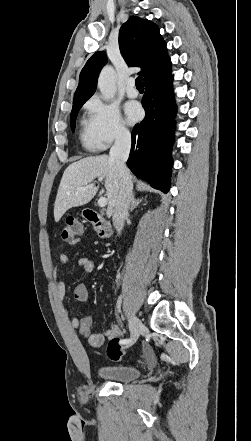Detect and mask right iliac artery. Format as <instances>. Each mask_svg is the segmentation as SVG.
Returning <instances> with one entry per match:
<instances>
[{"label": "right iliac artery", "mask_w": 251, "mask_h": 441, "mask_svg": "<svg viewBox=\"0 0 251 441\" xmlns=\"http://www.w3.org/2000/svg\"><path fill=\"white\" fill-rule=\"evenodd\" d=\"M130 342V339H123L121 340V344H127Z\"/></svg>", "instance_id": "1"}]
</instances>
